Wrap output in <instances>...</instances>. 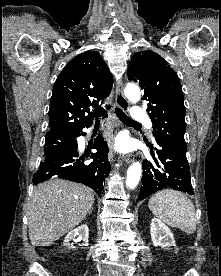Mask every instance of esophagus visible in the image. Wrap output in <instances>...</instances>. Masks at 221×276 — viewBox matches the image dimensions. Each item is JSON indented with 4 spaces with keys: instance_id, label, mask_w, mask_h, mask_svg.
<instances>
[{
    "instance_id": "34e87169",
    "label": "esophagus",
    "mask_w": 221,
    "mask_h": 276,
    "mask_svg": "<svg viewBox=\"0 0 221 276\" xmlns=\"http://www.w3.org/2000/svg\"><path fill=\"white\" fill-rule=\"evenodd\" d=\"M115 94H116V103L118 105V107L124 111H128L129 109V102L127 101V99L124 97L123 94V86L121 83L117 84L116 86V90H115ZM122 160L129 164L134 160V156L132 154H127V155H123L122 156Z\"/></svg>"
}]
</instances>
